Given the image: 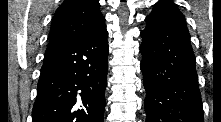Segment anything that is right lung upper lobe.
Here are the masks:
<instances>
[{"instance_id": "cb5924a9", "label": "right lung upper lobe", "mask_w": 221, "mask_h": 122, "mask_svg": "<svg viewBox=\"0 0 221 122\" xmlns=\"http://www.w3.org/2000/svg\"><path fill=\"white\" fill-rule=\"evenodd\" d=\"M97 0H66L56 10L46 53L72 43L105 24Z\"/></svg>"}]
</instances>
